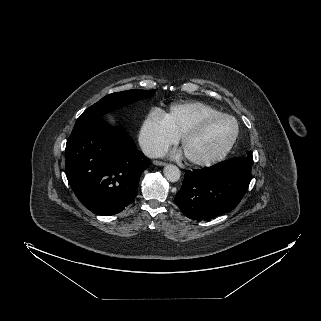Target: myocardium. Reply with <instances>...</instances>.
<instances>
[{"label": "myocardium", "mask_w": 321, "mask_h": 321, "mask_svg": "<svg viewBox=\"0 0 321 321\" xmlns=\"http://www.w3.org/2000/svg\"><path fill=\"white\" fill-rule=\"evenodd\" d=\"M218 119H228L231 120L234 123V132L230 138V140L226 143V145L221 149V151L216 154L215 156L208 158V159H197L193 157L186 156V159L188 162L192 165L195 166H200V167H207V166H212L217 164L218 162L222 161L227 154L230 152L232 147L234 146L238 135H239V124L238 121L231 115L225 114V113H219L215 115H210L202 118L198 122H196L194 125L191 127L187 128L184 130L181 135L179 136V142L181 147L185 143V141L196 135L198 132H200L206 125H208L210 122Z\"/></svg>", "instance_id": "myocardium-1"}]
</instances>
